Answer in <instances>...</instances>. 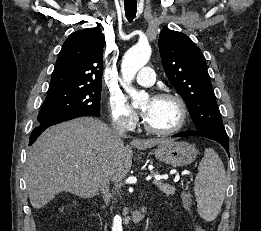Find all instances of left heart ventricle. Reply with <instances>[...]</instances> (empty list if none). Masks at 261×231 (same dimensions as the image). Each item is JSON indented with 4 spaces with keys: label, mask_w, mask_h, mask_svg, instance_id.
I'll use <instances>...</instances> for the list:
<instances>
[{
    "label": "left heart ventricle",
    "mask_w": 261,
    "mask_h": 231,
    "mask_svg": "<svg viewBox=\"0 0 261 231\" xmlns=\"http://www.w3.org/2000/svg\"><path fill=\"white\" fill-rule=\"evenodd\" d=\"M142 108L146 121L156 129L168 130L179 121V109L172 99H146Z\"/></svg>",
    "instance_id": "obj_1"
}]
</instances>
